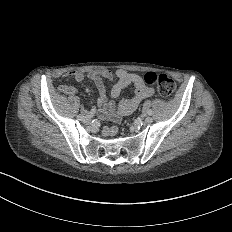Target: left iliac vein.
Returning a JSON list of instances; mask_svg holds the SVG:
<instances>
[{
    "label": "left iliac vein",
    "instance_id": "obj_1",
    "mask_svg": "<svg viewBox=\"0 0 232 232\" xmlns=\"http://www.w3.org/2000/svg\"><path fill=\"white\" fill-rule=\"evenodd\" d=\"M154 122V119L152 117H146L145 118V123L146 124H152Z\"/></svg>",
    "mask_w": 232,
    "mask_h": 232
}]
</instances>
